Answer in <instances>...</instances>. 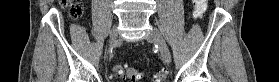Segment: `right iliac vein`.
Returning a JSON list of instances; mask_svg holds the SVG:
<instances>
[{
  "label": "right iliac vein",
  "instance_id": "63e3f726",
  "mask_svg": "<svg viewBox=\"0 0 279 82\" xmlns=\"http://www.w3.org/2000/svg\"><path fill=\"white\" fill-rule=\"evenodd\" d=\"M116 38H117V30L114 28L110 32V45L113 44V42L116 40Z\"/></svg>",
  "mask_w": 279,
  "mask_h": 82
}]
</instances>
